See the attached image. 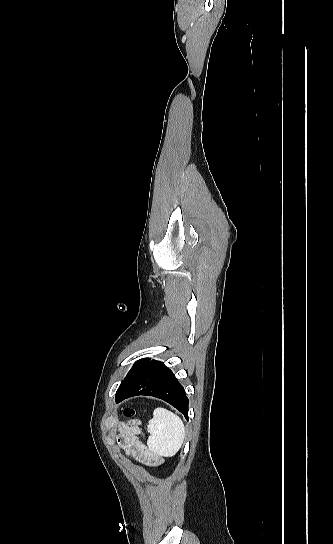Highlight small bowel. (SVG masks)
Listing matches in <instances>:
<instances>
[{"instance_id": "1", "label": "small bowel", "mask_w": 333, "mask_h": 544, "mask_svg": "<svg viewBox=\"0 0 333 544\" xmlns=\"http://www.w3.org/2000/svg\"><path fill=\"white\" fill-rule=\"evenodd\" d=\"M122 436L119 443L126 455L133 456L147 465H159L162 459L154 453L141 439V431L137 427L124 425L121 428Z\"/></svg>"}]
</instances>
